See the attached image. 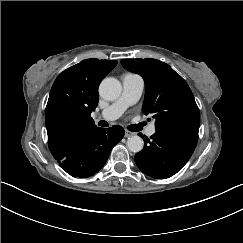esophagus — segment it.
<instances>
[{
  "mask_svg": "<svg viewBox=\"0 0 243 243\" xmlns=\"http://www.w3.org/2000/svg\"><path fill=\"white\" fill-rule=\"evenodd\" d=\"M134 135V133L133 132H130V131H125V135H124V137H126V138H128V137H131V136H133Z\"/></svg>",
  "mask_w": 243,
  "mask_h": 243,
  "instance_id": "esophagus-1",
  "label": "esophagus"
}]
</instances>
